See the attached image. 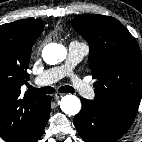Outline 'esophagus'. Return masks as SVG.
Returning a JSON list of instances; mask_svg holds the SVG:
<instances>
[{"label":"esophagus","mask_w":142,"mask_h":142,"mask_svg":"<svg viewBox=\"0 0 142 142\" xmlns=\"http://www.w3.org/2000/svg\"><path fill=\"white\" fill-rule=\"evenodd\" d=\"M64 96V94L63 93H59V92H57V93H55V95H54V99L57 101V100H59L61 97H63Z\"/></svg>","instance_id":"34e87169"}]
</instances>
